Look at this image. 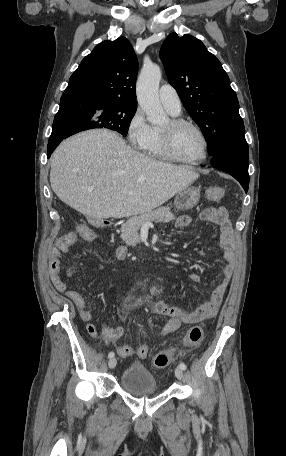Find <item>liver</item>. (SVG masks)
I'll return each mask as SVG.
<instances>
[{
  "label": "liver",
  "mask_w": 286,
  "mask_h": 456,
  "mask_svg": "<svg viewBox=\"0 0 286 456\" xmlns=\"http://www.w3.org/2000/svg\"><path fill=\"white\" fill-rule=\"evenodd\" d=\"M198 177L192 167L145 156L105 129L66 139L51 158L53 191L91 221L149 212Z\"/></svg>",
  "instance_id": "6515ba94"
}]
</instances>
